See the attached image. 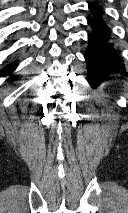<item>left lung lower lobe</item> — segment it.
<instances>
[{
    "label": "left lung lower lobe",
    "mask_w": 128,
    "mask_h": 213,
    "mask_svg": "<svg viewBox=\"0 0 128 213\" xmlns=\"http://www.w3.org/2000/svg\"><path fill=\"white\" fill-rule=\"evenodd\" d=\"M91 11L101 12V7L93 2L89 4ZM93 31L89 35V45L85 51V59L88 64V81L95 86L96 81L103 79L110 73L125 72L123 60L112 48L113 44L108 43V26L100 15L88 20Z\"/></svg>",
    "instance_id": "obj_1"
}]
</instances>
